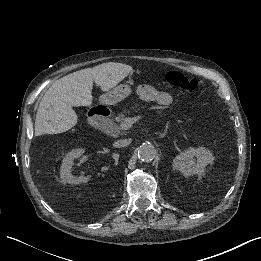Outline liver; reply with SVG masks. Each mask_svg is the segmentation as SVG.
<instances>
[{"label": "liver", "instance_id": "obj_1", "mask_svg": "<svg viewBox=\"0 0 261 261\" xmlns=\"http://www.w3.org/2000/svg\"><path fill=\"white\" fill-rule=\"evenodd\" d=\"M133 69L87 68L69 74L56 81L40 101L36 119L35 135L60 134L69 131L78 122L74 107L93 105V84L102 92H108L123 81Z\"/></svg>", "mask_w": 261, "mask_h": 261}]
</instances>
